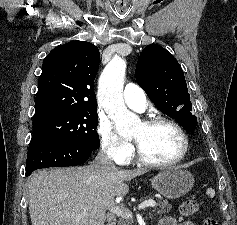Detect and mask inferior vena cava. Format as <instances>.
<instances>
[{"label": "inferior vena cava", "instance_id": "602c4592", "mask_svg": "<svg viewBox=\"0 0 237 225\" xmlns=\"http://www.w3.org/2000/svg\"><path fill=\"white\" fill-rule=\"evenodd\" d=\"M93 164L96 168H100L102 170H111L116 168L106 149H101L98 152Z\"/></svg>", "mask_w": 237, "mask_h": 225}]
</instances>
